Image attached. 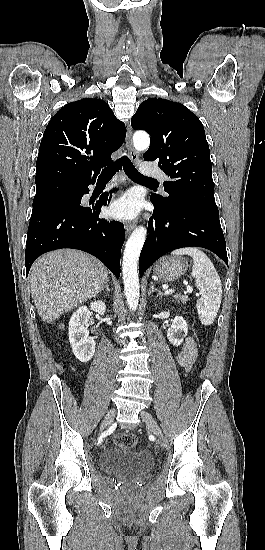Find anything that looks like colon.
<instances>
[{"mask_svg": "<svg viewBox=\"0 0 265 550\" xmlns=\"http://www.w3.org/2000/svg\"><path fill=\"white\" fill-rule=\"evenodd\" d=\"M115 444L126 448H135L138 443V439L133 433H120L115 436Z\"/></svg>", "mask_w": 265, "mask_h": 550, "instance_id": "obj_1", "label": "colon"}]
</instances>
